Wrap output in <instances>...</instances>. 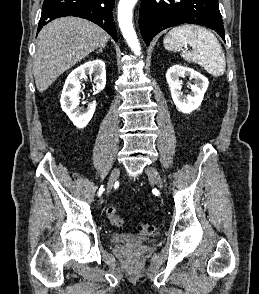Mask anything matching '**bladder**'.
Segmentation results:
<instances>
[{
  "instance_id": "bladder-1",
  "label": "bladder",
  "mask_w": 259,
  "mask_h": 294,
  "mask_svg": "<svg viewBox=\"0 0 259 294\" xmlns=\"http://www.w3.org/2000/svg\"><path fill=\"white\" fill-rule=\"evenodd\" d=\"M110 241L115 244H121L126 242L141 243L146 241V237L136 236L130 233H113L109 237Z\"/></svg>"
}]
</instances>
